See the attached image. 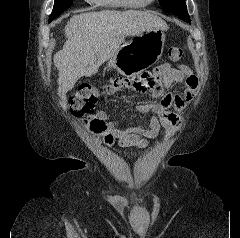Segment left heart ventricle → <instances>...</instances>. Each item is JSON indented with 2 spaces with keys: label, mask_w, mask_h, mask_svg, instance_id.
Wrapping results in <instances>:
<instances>
[{
  "label": "left heart ventricle",
  "mask_w": 240,
  "mask_h": 238,
  "mask_svg": "<svg viewBox=\"0 0 240 238\" xmlns=\"http://www.w3.org/2000/svg\"><path fill=\"white\" fill-rule=\"evenodd\" d=\"M131 1H148V0H131Z\"/></svg>",
  "instance_id": "left-heart-ventricle-1"
}]
</instances>
